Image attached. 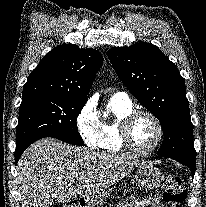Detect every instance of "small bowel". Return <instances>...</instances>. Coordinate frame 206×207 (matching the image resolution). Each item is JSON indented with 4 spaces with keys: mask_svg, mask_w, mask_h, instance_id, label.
<instances>
[{
    "mask_svg": "<svg viewBox=\"0 0 206 207\" xmlns=\"http://www.w3.org/2000/svg\"><path fill=\"white\" fill-rule=\"evenodd\" d=\"M168 207V205L164 202H162L157 197H149V196H143L141 198L132 199L127 204H122L117 207Z\"/></svg>",
    "mask_w": 206,
    "mask_h": 207,
    "instance_id": "small-bowel-1",
    "label": "small bowel"
}]
</instances>
